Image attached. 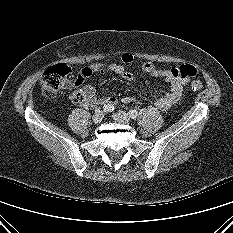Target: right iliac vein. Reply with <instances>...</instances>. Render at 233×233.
I'll use <instances>...</instances> for the list:
<instances>
[{
  "mask_svg": "<svg viewBox=\"0 0 233 233\" xmlns=\"http://www.w3.org/2000/svg\"><path fill=\"white\" fill-rule=\"evenodd\" d=\"M104 118V113L102 111L95 112L92 117V120L95 124H99Z\"/></svg>",
  "mask_w": 233,
  "mask_h": 233,
  "instance_id": "right-iliac-vein-1",
  "label": "right iliac vein"
}]
</instances>
